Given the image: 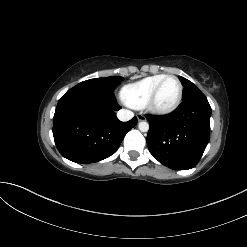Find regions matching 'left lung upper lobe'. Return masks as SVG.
Segmentation results:
<instances>
[{"label": "left lung upper lobe", "instance_id": "left-lung-upper-lobe-1", "mask_svg": "<svg viewBox=\"0 0 247 247\" xmlns=\"http://www.w3.org/2000/svg\"><path fill=\"white\" fill-rule=\"evenodd\" d=\"M179 79L184 86L182 101H185L196 94H201L202 92L189 80L184 77L179 76Z\"/></svg>", "mask_w": 247, "mask_h": 247}]
</instances>
